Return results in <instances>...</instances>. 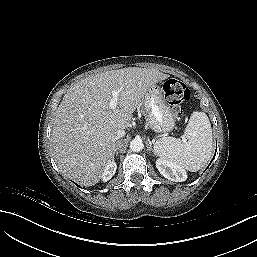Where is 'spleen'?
<instances>
[{
    "label": "spleen",
    "instance_id": "obj_1",
    "mask_svg": "<svg viewBox=\"0 0 257 257\" xmlns=\"http://www.w3.org/2000/svg\"><path fill=\"white\" fill-rule=\"evenodd\" d=\"M212 129L204 112L194 111L184 131V139L163 137L154 143V153L191 172L200 170L212 154Z\"/></svg>",
    "mask_w": 257,
    "mask_h": 257
}]
</instances>
